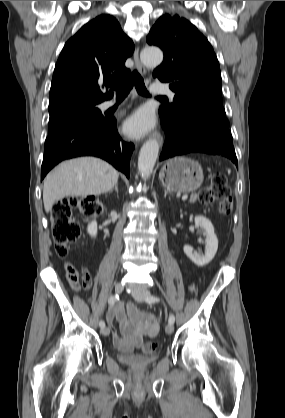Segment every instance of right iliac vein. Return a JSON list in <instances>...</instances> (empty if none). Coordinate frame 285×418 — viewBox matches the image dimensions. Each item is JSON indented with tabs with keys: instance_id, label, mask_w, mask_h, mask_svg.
Masks as SVG:
<instances>
[{
	"instance_id": "right-iliac-vein-1",
	"label": "right iliac vein",
	"mask_w": 285,
	"mask_h": 418,
	"mask_svg": "<svg viewBox=\"0 0 285 418\" xmlns=\"http://www.w3.org/2000/svg\"><path fill=\"white\" fill-rule=\"evenodd\" d=\"M123 289H124V286L121 284V283H117L116 285H115V293L116 294H120V293H122V291H123ZM101 333L104 335V336H107V335H109V333H110V330H109V328L108 327H103L102 329H101Z\"/></svg>"
}]
</instances>
